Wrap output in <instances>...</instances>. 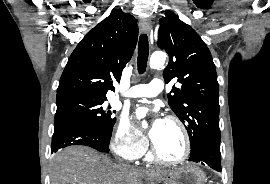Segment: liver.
<instances>
[{
    "label": "liver",
    "instance_id": "6515ba94",
    "mask_svg": "<svg viewBox=\"0 0 270 184\" xmlns=\"http://www.w3.org/2000/svg\"><path fill=\"white\" fill-rule=\"evenodd\" d=\"M142 177L85 146L58 151L50 175L51 184H141Z\"/></svg>",
    "mask_w": 270,
    "mask_h": 184
}]
</instances>
